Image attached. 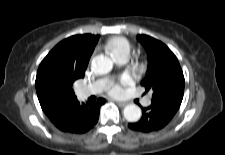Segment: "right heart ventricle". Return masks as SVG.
I'll list each match as a JSON object with an SVG mask.
<instances>
[{"label":"right heart ventricle","instance_id":"obj_1","mask_svg":"<svg viewBox=\"0 0 225 155\" xmlns=\"http://www.w3.org/2000/svg\"><path fill=\"white\" fill-rule=\"evenodd\" d=\"M105 48L113 57H116L117 55L122 53L129 54L130 43L126 38L116 36L107 41Z\"/></svg>","mask_w":225,"mask_h":155}]
</instances>
